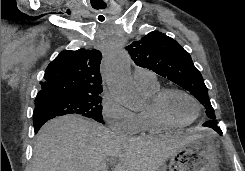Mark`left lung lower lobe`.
<instances>
[{"instance_id":"obj_1","label":"left lung lower lobe","mask_w":245,"mask_h":171,"mask_svg":"<svg viewBox=\"0 0 245 171\" xmlns=\"http://www.w3.org/2000/svg\"><path fill=\"white\" fill-rule=\"evenodd\" d=\"M203 126L212 128V129L215 130L218 134H221V133H222L221 129L217 126L216 123H211V122L207 121V122H205V123L203 124Z\"/></svg>"}]
</instances>
